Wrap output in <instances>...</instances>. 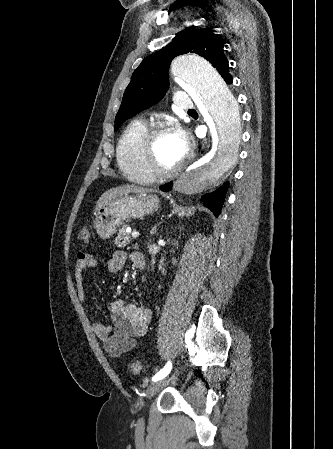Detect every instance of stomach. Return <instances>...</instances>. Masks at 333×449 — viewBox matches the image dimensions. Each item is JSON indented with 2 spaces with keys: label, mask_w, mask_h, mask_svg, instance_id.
Segmentation results:
<instances>
[{
  "label": "stomach",
  "mask_w": 333,
  "mask_h": 449,
  "mask_svg": "<svg viewBox=\"0 0 333 449\" xmlns=\"http://www.w3.org/2000/svg\"><path fill=\"white\" fill-rule=\"evenodd\" d=\"M160 208L157 195H124L108 200L96 212L94 227L102 239L112 236L118 227L134 218H143Z\"/></svg>",
  "instance_id": "stomach-1"
}]
</instances>
